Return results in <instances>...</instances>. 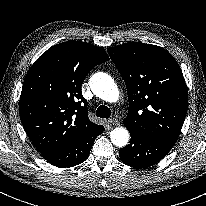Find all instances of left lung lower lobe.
I'll list each match as a JSON object with an SVG mask.
<instances>
[{
	"mask_svg": "<svg viewBox=\"0 0 206 206\" xmlns=\"http://www.w3.org/2000/svg\"><path fill=\"white\" fill-rule=\"evenodd\" d=\"M130 144L119 151L122 162L135 168H147L163 159L173 143L130 133Z\"/></svg>",
	"mask_w": 206,
	"mask_h": 206,
	"instance_id": "obj_1",
	"label": "left lung lower lobe"
}]
</instances>
